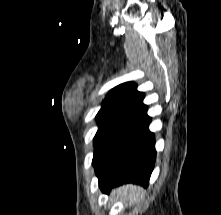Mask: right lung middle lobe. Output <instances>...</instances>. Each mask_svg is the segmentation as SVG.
I'll return each mask as SVG.
<instances>
[{
    "label": "right lung middle lobe",
    "mask_w": 221,
    "mask_h": 215,
    "mask_svg": "<svg viewBox=\"0 0 221 215\" xmlns=\"http://www.w3.org/2000/svg\"><path fill=\"white\" fill-rule=\"evenodd\" d=\"M138 111L133 108L120 105H103L96 116L98 131L94 137V156L92 164L94 165L111 138L119 129L129 120H131Z\"/></svg>",
    "instance_id": "1"
}]
</instances>
